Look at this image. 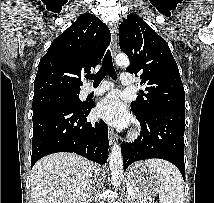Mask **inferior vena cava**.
I'll use <instances>...</instances> for the list:
<instances>
[{
    "instance_id": "obj_1",
    "label": "inferior vena cava",
    "mask_w": 214,
    "mask_h": 203,
    "mask_svg": "<svg viewBox=\"0 0 214 203\" xmlns=\"http://www.w3.org/2000/svg\"><path fill=\"white\" fill-rule=\"evenodd\" d=\"M99 171V169H98V167L97 166H95V172H98ZM96 181V178L94 179V182Z\"/></svg>"
}]
</instances>
